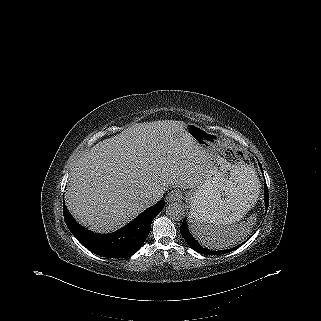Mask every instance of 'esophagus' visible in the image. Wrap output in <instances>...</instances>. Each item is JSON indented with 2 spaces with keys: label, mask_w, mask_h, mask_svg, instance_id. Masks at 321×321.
<instances>
[{
  "label": "esophagus",
  "mask_w": 321,
  "mask_h": 321,
  "mask_svg": "<svg viewBox=\"0 0 321 321\" xmlns=\"http://www.w3.org/2000/svg\"><path fill=\"white\" fill-rule=\"evenodd\" d=\"M181 199H182V193L178 190L171 191L166 197V200L170 203L179 201Z\"/></svg>",
  "instance_id": "34e87169"
}]
</instances>
